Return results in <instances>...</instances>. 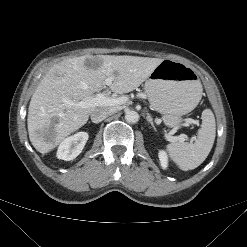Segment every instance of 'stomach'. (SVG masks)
Returning a JSON list of instances; mask_svg holds the SVG:
<instances>
[{"mask_svg": "<svg viewBox=\"0 0 247 247\" xmlns=\"http://www.w3.org/2000/svg\"><path fill=\"white\" fill-rule=\"evenodd\" d=\"M153 109L164 124L177 128L182 116L191 112L202 97V85L195 70L180 62L165 59L152 71L144 84Z\"/></svg>", "mask_w": 247, "mask_h": 247, "instance_id": "1", "label": "stomach"}]
</instances>
